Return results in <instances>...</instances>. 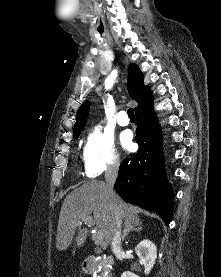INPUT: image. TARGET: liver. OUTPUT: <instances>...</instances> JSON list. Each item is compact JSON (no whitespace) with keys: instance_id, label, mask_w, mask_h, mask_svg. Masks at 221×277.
<instances>
[{"instance_id":"1","label":"liver","mask_w":221,"mask_h":277,"mask_svg":"<svg viewBox=\"0 0 221 277\" xmlns=\"http://www.w3.org/2000/svg\"><path fill=\"white\" fill-rule=\"evenodd\" d=\"M106 184L100 181H90L73 190L66 196L61 207L57 228L56 248L59 251L71 246L76 229L79 228L75 241L81 247L87 238L88 229L78 225L93 213L96 228L103 232L107 243L111 242V210L109 198L105 193ZM112 202L116 205L121 221L124 223L140 225L138 216L134 215L135 209L124 203L117 194H113Z\"/></svg>"}]
</instances>
